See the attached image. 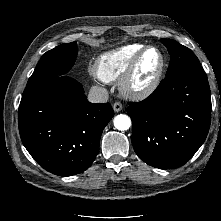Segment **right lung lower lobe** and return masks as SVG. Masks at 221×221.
<instances>
[{
  "label": "right lung lower lobe",
  "instance_id": "1",
  "mask_svg": "<svg viewBox=\"0 0 221 221\" xmlns=\"http://www.w3.org/2000/svg\"><path fill=\"white\" fill-rule=\"evenodd\" d=\"M112 117L109 103L88 102L80 83L55 73L31 76L18 110L23 145L41 167L59 176L89 168Z\"/></svg>",
  "mask_w": 221,
  "mask_h": 221
}]
</instances>
